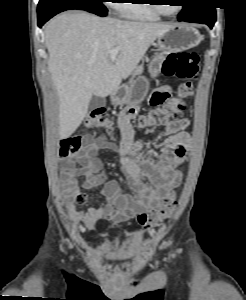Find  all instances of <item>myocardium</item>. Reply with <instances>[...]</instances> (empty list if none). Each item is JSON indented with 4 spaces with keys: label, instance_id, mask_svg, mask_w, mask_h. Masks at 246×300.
Instances as JSON below:
<instances>
[{
    "label": "myocardium",
    "instance_id": "f54148a6",
    "mask_svg": "<svg viewBox=\"0 0 246 300\" xmlns=\"http://www.w3.org/2000/svg\"><path fill=\"white\" fill-rule=\"evenodd\" d=\"M152 4H153V8L154 10L160 15V16H164V17H175L177 16L181 10L183 9L182 6H179L178 9L172 13V14H169L167 13L166 11H164L163 7L161 4H159V1L158 0H152Z\"/></svg>",
    "mask_w": 246,
    "mask_h": 300
}]
</instances>
